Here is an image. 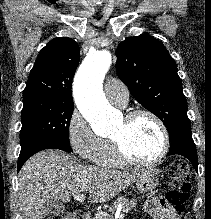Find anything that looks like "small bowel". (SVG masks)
<instances>
[{"label": "small bowel", "mask_w": 211, "mask_h": 219, "mask_svg": "<svg viewBox=\"0 0 211 219\" xmlns=\"http://www.w3.org/2000/svg\"><path fill=\"white\" fill-rule=\"evenodd\" d=\"M144 215L152 219H177L173 208L158 197L146 201Z\"/></svg>", "instance_id": "obj_1"}]
</instances>
